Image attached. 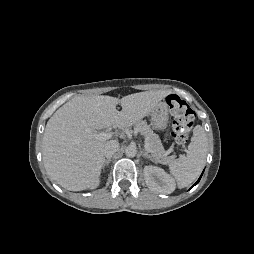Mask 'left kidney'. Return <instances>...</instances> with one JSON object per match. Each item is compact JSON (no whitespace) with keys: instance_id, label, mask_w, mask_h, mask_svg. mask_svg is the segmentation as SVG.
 Here are the masks:
<instances>
[{"instance_id":"left-kidney-1","label":"left kidney","mask_w":254,"mask_h":254,"mask_svg":"<svg viewBox=\"0 0 254 254\" xmlns=\"http://www.w3.org/2000/svg\"><path fill=\"white\" fill-rule=\"evenodd\" d=\"M144 179L148 188L156 193L170 194L175 190L174 179L159 167L145 166Z\"/></svg>"}]
</instances>
